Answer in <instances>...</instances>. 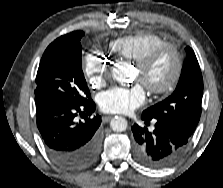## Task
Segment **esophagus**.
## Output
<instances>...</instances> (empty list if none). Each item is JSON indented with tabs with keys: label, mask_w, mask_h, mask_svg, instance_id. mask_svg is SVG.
I'll return each instance as SVG.
<instances>
[{
	"label": "esophagus",
	"mask_w": 223,
	"mask_h": 188,
	"mask_svg": "<svg viewBox=\"0 0 223 188\" xmlns=\"http://www.w3.org/2000/svg\"><path fill=\"white\" fill-rule=\"evenodd\" d=\"M112 118H113L112 115H108V116L103 117V121L108 122Z\"/></svg>",
	"instance_id": "1"
}]
</instances>
